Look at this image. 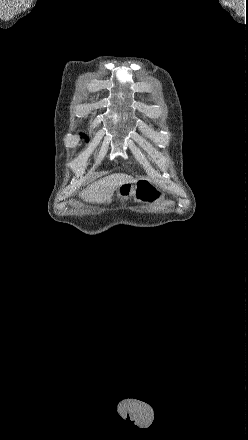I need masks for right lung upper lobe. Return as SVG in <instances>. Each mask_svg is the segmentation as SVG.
I'll return each instance as SVG.
<instances>
[{"label": "right lung upper lobe", "instance_id": "obj_1", "mask_svg": "<svg viewBox=\"0 0 248 440\" xmlns=\"http://www.w3.org/2000/svg\"><path fill=\"white\" fill-rule=\"evenodd\" d=\"M82 137H84L86 139L85 135H82Z\"/></svg>", "mask_w": 248, "mask_h": 440}]
</instances>
